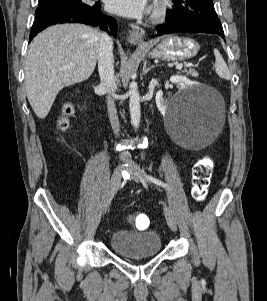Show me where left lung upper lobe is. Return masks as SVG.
I'll return each instance as SVG.
<instances>
[{"instance_id": "5c2ea615", "label": "left lung upper lobe", "mask_w": 267, "mask_h": 301, "mask_svg": "<svg viewBox=\"0 0 267 301\" xmlns=\"http://www.w3.org/2000/svg\"><path fill=\"white\" fill-rule=\"evenodd\" d=\"M174 8L167 11L170 22H200L223 30L213 7V0H173Z\"/></svg>"}]
</instances>
